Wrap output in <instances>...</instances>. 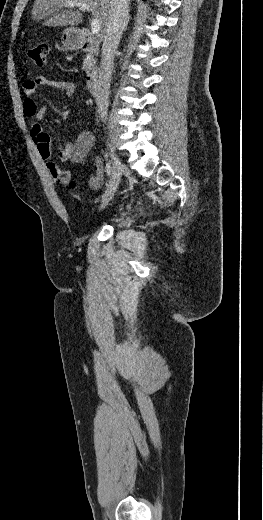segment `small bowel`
<instances>
[{"mask_svg": "<svg viewBox=\"0 0 263 520\" xmlns=\"http://www.w3.org/2000/svg\"><path fill=\"white\" fill-rule=\"evenodd\" d=\"M54 87L67 96L75 93V85L73 82L66 80H51L45 77H37L28 79L23 84L24 90V113L28 118L32 119L30 126V136L35 143L38 153L46 162V167L54 179L60 185L66 186L72 181V175L68 171L61 170L52 160L50 148V138L43 130L40 121L46 115V108L39 106L35 100V93L39 87ZM94 146V137L91 132L83 131L79 134L75 142H62L58 146L57 155L60 161H72L79 163L87 156ZM94 171L90 176L89 186L92 190L100 187L104 177V166L100 158H93Z\"/></svg>", "mask_w": 263, "mask_h": 520, "instance_id": "c3829d8e", "label": "small bowel"}]
</instances>
